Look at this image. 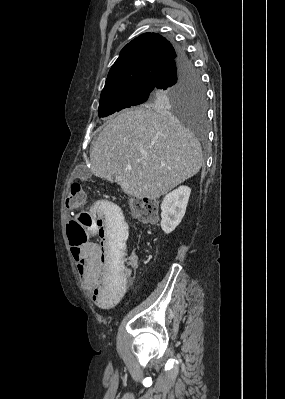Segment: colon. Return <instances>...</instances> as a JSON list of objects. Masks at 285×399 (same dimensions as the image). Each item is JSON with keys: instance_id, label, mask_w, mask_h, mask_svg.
Returning a JSON list of instances; mask_svg holds the SVG:
<instances>
[{"instance_id": "5ec220e1", "label": "colon", "mask_w": 285, "mask_h": 399, "mask_svg": "<svg viewBox=\"0 0 285 399\" xmlns=\"http://www.w3.org/2000/svg\"><path fill=\"white\" fill-rule=\"evenodd\" d=\"M84 206L85 195L81 185L77 182L70 184L66 196V208L72 213L73 217L68 221L66 230L69 242L74 247L75 251L77 245H82L95 240L94 237L87 235L86 232V226L87 224H90L91 216L83 210ZM129 207L131 213L143 222L156 223L158 221L159 205L155 199L144 198L142 200H132ZM110 250L113 256H115L118 247L113 245ZM126 259H130V256H127ZM118 274L121 278L125 279L131 275V270L128 266H123L119 268Z\"/></svg>"}]
</instances>
